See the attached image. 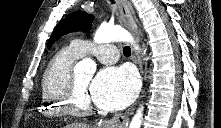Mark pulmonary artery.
Returning <instances> with one entry per match:
<instances>
[{"label": "pulmonary artery", "instance_id": "obj_1", "mask_svg": "<svg viewBox=\"0 0 221 128\" xmlns=\"http://www.w3.org/2000/svg\"><path fill=\"white\" fill-rule=\"evenodd\" d=\"M71 45L75 47L82 56L91 53L101 63H114L119 58V50L111 42L94 45V43L87 39L77 38L71 42Z\"/></svg>", "mask_w": 221, "mask_h": 128}]
</instances>
